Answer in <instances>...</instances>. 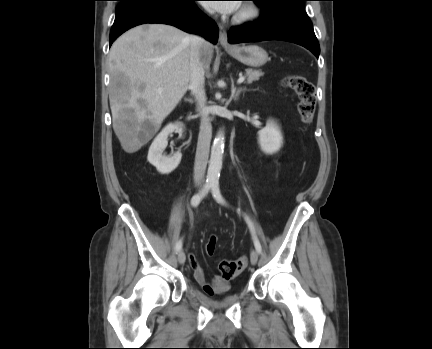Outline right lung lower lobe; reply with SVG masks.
<instances>
[{"label":"right lung lower lobe","instance_id":"1","mask_svg":"<svg viewBox=\"0 0 432 349\" xmlns=\"http://www.w3.org/2000/svg\"><path fill=\"white\" fill-rule=\"evenodd\" d=\"M197 0H122L110 33L111 44L128 29L145 23L173 25L197 33L212 43L218 40L217 25L196 6Z\"/></svg>","mask_w":432,"mask_h":349}]
</instances>
